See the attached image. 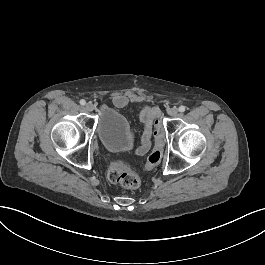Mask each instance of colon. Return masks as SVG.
<instances>
[{"label": "colon", "instance_id": "5ec220e1", "mask_svg": "<svg viewBox=\"0 0 265 265\" xmlns=\"http://www.w3.org/2000/svg\"><path fill=\"white\" fill-rule=\"evenodd\" d=\"M155 146L148 154L144 168L146 170L156 167L162 160L163 155V133L162 125L158 122L154 128ZM128 159L113 162L107 170V178L112 183L119 184L127 189H137L141 186V178L130 170Z\"/></svg>", "mask_w": 265, "mask_h": 265}]
</instances>
